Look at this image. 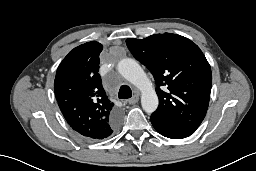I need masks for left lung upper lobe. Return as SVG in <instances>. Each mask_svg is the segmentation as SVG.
<instances>
[{
    "label": "left lung upper lobe",
    "mask_w": 256,
    "mask_h": 171,
    "mask_svg": "<svg viewBox=\"0 0 256 171\" xmlns=\"http://www.w3.org/2000/svg\"><path fill=\"white\" fill-rule=\"evenodd\" d=\"M126 43L156 81L159 106L151 117L191 135L206 115L212 85L211 68L200 48L172 33L127 39Z\"/></svg>",
    "instance_id": "left-lung-upper-lobe-1"
}]
</instances>
